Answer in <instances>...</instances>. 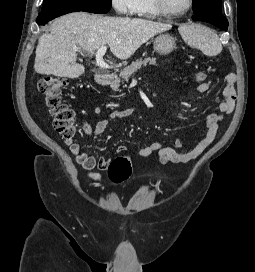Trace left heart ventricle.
<instances>
[{
  "mask_svg": "<svg viewBox=\"0 0 255 272\" xmlns=\"http://www.w3.org/2000/svg\"><path fill=\"white\" fill-rule=\"evenodd\" d=\"M166 8L171 12L184 10L188 5V0H164Z\"/></svg>",
  "mask_w": 255,
  "mask_h": 272,
  "instance_id": "left-heart-ventricle-1",
  "label": "left heart ventricle"
}]
</instances>
